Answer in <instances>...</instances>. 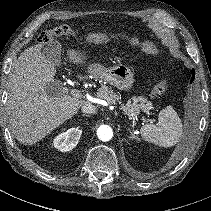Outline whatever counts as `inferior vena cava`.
<instances>
[{
  "mask_svg": "<svg viewBox=\"0 0 211 211\" xmlns=\"http://www.w3.org/2000/svg\"><path fill=\"white\" fill-rule=\"evenodd\" d=\"M82 112L87 114H95L97 112V108L91 103H86L82 106Z\"/></svg>",
  "mask_w": 211,
  "mask_h": 211,
  "instance_id": "obj_1",
  "label": "inferior vena cava"
}]
</instances>
